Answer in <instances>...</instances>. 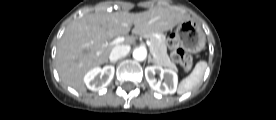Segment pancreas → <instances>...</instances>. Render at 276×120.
<instances>
[{
  "label": "pancreas",
  "instance_id": "cf45deb5",
  "mask_svg": "<svg viewBox=\"0 0 276 120\" xmlns=\"http://www.w3.org/2000/svg\"><path fill=\"white\" fill-rule=\"evenodd\" d=\"M151 54L154 57L155 62L164 67H168L173 71H177L176 65L170 60L167 54V47L164 39L151 38Z\"/></svg>",
  "mask_w": 276,
  "mask_h": 120
}]
</instances>
